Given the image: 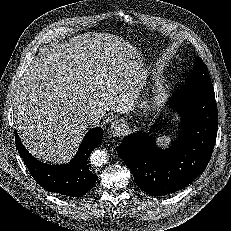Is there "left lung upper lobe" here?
Listing matches in <instances>:
<instances>
[{
  "label": "left lung upper lobe",
  "mask_w": 231,
  "mask_h": 231,
  "mask_svg": "<svg viewBox=\"0 0 231 231\" xmlns=\"http://www.w3.org/2000/svg\"><path fill=\"white\" fill-rule=\"evenodd\" d=\"M185 85L188 86H204L213 87L210 80L207 66L200 57H197L194 64L193 71L188 75Z\"/></svg>",
  "instance_id": "1"
}]
</instances>
